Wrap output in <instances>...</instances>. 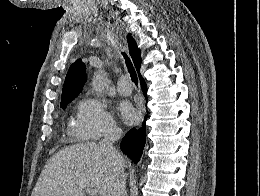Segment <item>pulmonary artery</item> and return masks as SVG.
<instances>
[{
  "label": "pulmonary artery",
  "mask_w": 260,
  "mask_h": 196,
  "mask_svg": "<svg viewBox=\"0 0 260 196\" xmlns=\"http://www.w3.org/2000/svg\"><path fill=\"white\" fill-rule=\"evenodd\" d=\"M118 92L122 95H130L133 90V85H130L129 81H124L123 79L117 80Z\"/></svg>",
  "instance_id": "obj_1"
}]
</instances>
